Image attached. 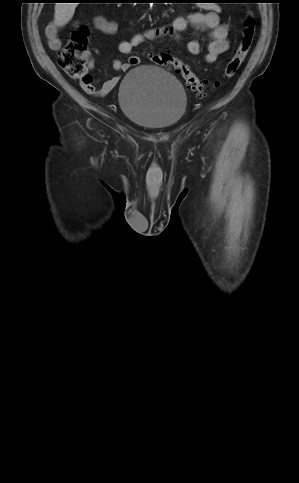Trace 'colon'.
<instances>
[{
    "label": "colon",
    "instance_id": "obj_1",
    "mask_svg": "<svg viewBox=\"0 0 299 483\" xmlns=\"http://www.w3.org/2000/svg\"><path fill=\"white\" fill-rule=\"evenodd\" d=\"M254 31V17L252 13L247 12L242 21L240 41L223 70L221 80L231 79L241 67L251 48ZM88 35V29L85 26L75 30L61 49L58 63L70 77L78 80L84 89L91 90L93 89V79L88 74L86 54ZM150 61L157 66L179 72L188 87L198 96H205L211 89L218 88L221 85V80L209 85L201 80L181 59L168 53H152Z\"/></svg>",
    "mask_w": 299,
    "mask_h": 483
}]
</instances>
